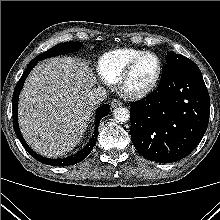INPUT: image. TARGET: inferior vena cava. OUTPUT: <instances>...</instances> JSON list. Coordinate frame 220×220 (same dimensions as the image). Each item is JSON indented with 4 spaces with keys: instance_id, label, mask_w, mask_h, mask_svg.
Returning <instances> with one entry per match:
<instances>
[{
    "instance_id": "1",
    "label": "inferior vena cava",
    "mask_w": 220,
    "mask_h": 220,
    "mask_svg": "<svg viewBox=\"0 0 220 220\" xmlns=\"http://www.w3.org/2000/svg\"><path fill=\"white\" fill-rule=\"evenodd\" d=\"M107 98V92L103 87L93 88L89 95V103L97 105Z\"/></svg>"
}]
</instances>
